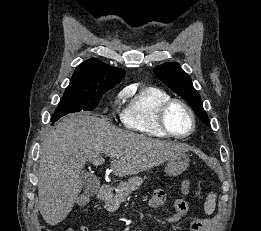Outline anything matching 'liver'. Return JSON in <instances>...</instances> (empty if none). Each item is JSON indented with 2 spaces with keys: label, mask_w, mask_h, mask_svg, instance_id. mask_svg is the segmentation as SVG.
<instances>
[{
  "label": "liver",
  "mask_w": 261,
  "mask_h": 231,
  "mask_svg": "<svg viewBox=\"0 0 261 231\" xmlns=\"http://www.w3.org/2000/svg\"><path fill=\"white\" fill-rule=\"evenodd\" d=\"M187 151L184 144L121 130L97 115H70L47 134L41 147L40 213L49 225L63 221L81 192L83 167L87 161L102 164V153H115L110 168L114 175L124 177L149 170Z\"/></svg>",
  "instance_id": "liver-1"
}]
</instances>
